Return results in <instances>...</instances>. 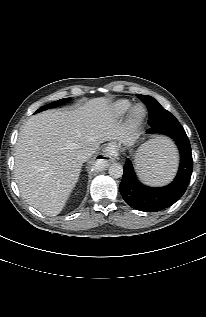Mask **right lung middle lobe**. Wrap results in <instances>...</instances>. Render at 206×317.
<instances>
[{"label": "right lung middle lobe", "instance_id": "right-lung-middle-lobe-1", "mask_svg": "<svg viewBox=\"0 0 206 317\" xmlns=\"http://www.w3.org/2000/svg\"><path fill=\"white\" fill-rule=\"evenodd\" d=\"M69 100V98H64V99H60L56 102H52L50 104H47L45 106H42L40 109H38L35 113H38V112H41V111H44V110H47V109H50V108H53V107H57L59 105H62L64 103H66L67 101Z\"/></svg>", "mask_w": 206, "mask_h": 317}]
</instances>
